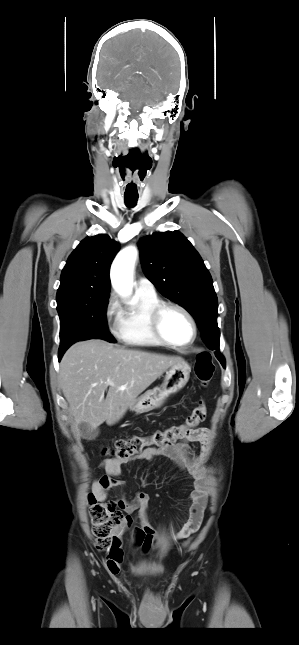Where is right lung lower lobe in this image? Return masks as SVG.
<instances>
[{"instance_id":"obj_1","label":"right lung lower lobe","mask_w":299,"mask_h":645,"mask_svg":"<svg viewBox=\"0 0 299 645\" xmlns=\"http://www.w3.org/2000/svg\"><path fill=\"white\" fill-rule=\"evenodd\" d=\"M63 354H64V353H59V357H58V358H59V360L61 359V357L63 356Z\"/></svg>"}]
</instances>
